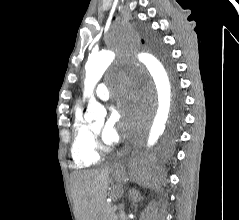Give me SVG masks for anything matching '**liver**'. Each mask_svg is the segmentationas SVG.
Here are the masks:
<instances>
[{
    "label": "liver",
    "mask_w": 239,
    "mask_h": 220,
    "mask_svg": "<svg viewBox=\"0 0 239 220\" xmlns=\"http://www.w3.org/2000/svg\"><path fill=\"white\" fill-rule=\"evenodd\" d=\"M111 171L109 167H105L71 174L77 220H103Z\"/></svg>",
    "instance_id": "liver-1"
}]
</instances>
